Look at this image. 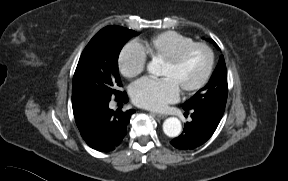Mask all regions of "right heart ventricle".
<instances>
[{
	"mask_svg": "<svg viewBox=\"0 0 288 181\" xmlns=\"http://www.w3.org/2000/svg\"><path fill=\"white\" fill-rule=\"evenodd\" d=\"M194 43V40L176 31H165L153 35L145 41L138 42V47L146 57L152 60H163L179 49Z\"/></svg>",
	"mask_w": 288,
	"mask_h": 181,
	"instance_id": "right-heart-ventricle-1",
	"label": "right heart ventricle"
}]
</instances>
